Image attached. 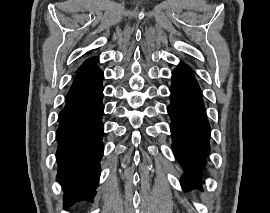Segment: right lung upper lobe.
Instances as JSON below:
<instances>
[{
  "instance_id": "obj_1",
  "label": "right lung upper lobe",
  "mask_w": 270,
  "mask_h": 213,
  "mask_svg": "<svg viewBox=\"0 0 270 213\" xmlns=\"http://www.w3.org/2000/svg\"><path fill=\"white\" fill-rule=\"evenodd\" d=\"M97 57H91L90 59H87L78 69V71H82L91 67H95L97 62Z\"/></svg>"
}]
</instances>
